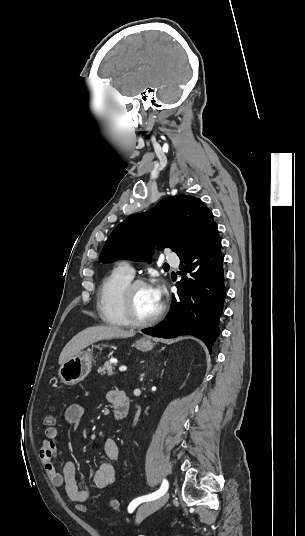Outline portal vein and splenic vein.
<instances>
[{
	"label": "portal vein and splenic vein",
	"instance_id": "portal-vein-and-splenic-vein-1",
	"mask_svg": "<svg viewBox=\"0 0 305 536\" xmlns=\"http://www.w3.org/2000/svg\"><path fill=\"white\" fill-rule=\"evenodd\" d=\"M110 362H117V360H110ZM120 372H125L127 370L126 366H120L119 368Z\"/></svg>",
	"mask_w": 305,
	"mask_h": 536
}]
</instances>
